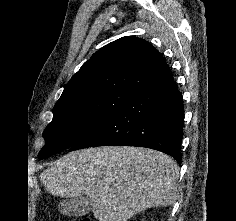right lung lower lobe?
<instances>
[{
    "mask_svg": "<svg viewBox=\"0 0 236 221\" xmlns=\"http://www.w3.org/2000/svg\"><path fill=\"white\" fill-rule=\"evenodd\" d=\"M184 107L170 71L138 90L70 151L95 146L155 149L181 163Z\"/></svg>",
    "mask_w": 236,
    "mask_h": 221,
    "instance_id": "obj_1",
    "label": "right lung lower lobe"
}]
</instances>
